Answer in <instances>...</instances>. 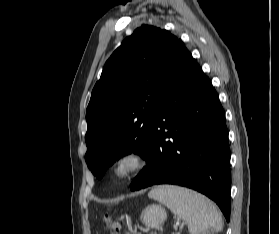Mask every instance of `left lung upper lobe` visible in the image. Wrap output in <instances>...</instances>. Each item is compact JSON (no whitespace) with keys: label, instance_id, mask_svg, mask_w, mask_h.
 <instances>
[{"label":"left lung upper lobe","instance_id":"5c2ea615","mask_svg":"<svg viewBox=\"0 0 279 234\" xmlns=\"http://www.w3.org/2000/svg\"><path fill=\"white\" fill-rule=\"evenodd\" d=\"M183 48L169 31L142 25L105 63L86 110L85 160L97 178L131 152L146 159L154 113Z\"/></svg>","mask_w":279,"mask_h":234}]
</instances>
